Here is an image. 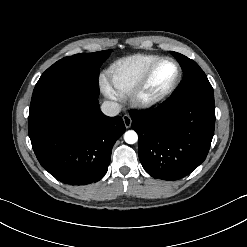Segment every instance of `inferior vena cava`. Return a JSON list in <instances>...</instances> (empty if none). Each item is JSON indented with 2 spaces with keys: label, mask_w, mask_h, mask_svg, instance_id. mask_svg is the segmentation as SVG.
I'll list each match as a JSON object with an SVG mask.
<instances>
[{
  "label": "inferior vena cava",
  "mask_w": 247,
  "mask_h": 247,
  "mask_svg": "<svg viewBox=\"0 0 247 247\" xmlns=\"http://www.w3.org/2000/svg\"><path fill=\"white\" fill-rule=\"evenodd\" d=\"M101 111L106 116H117L121 111V106L114 101H104L101 105Z\"/></svg>",
  "instance_id": "1"
}]
</instances>
